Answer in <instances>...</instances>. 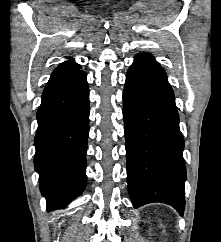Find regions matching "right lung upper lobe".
Returning a JSON list of instances; mask_svg holds the SVG:
<instances>
[{
	"instance_id": "right-lung-upper-lobe-1",
	"label": "right lung upper lobe",
	"mask_w": 221,
	"mask_h": 242,
	"mask_svg": "<svg viewBox=\"0 0 221 242\" xmlns=\"http://www.w3.org/2000/svg\"><path fill=\"white\" fill-rule=\"evenodd\" d=\"M81 66L73 60L61 63L52 73L48 82L63 78L76 71H79Z\"/></svg>"
}]
</instances>
